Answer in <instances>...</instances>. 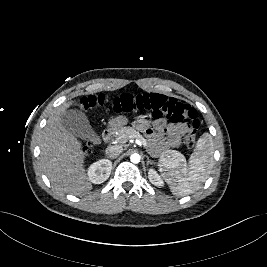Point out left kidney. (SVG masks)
I'll return each mask as SVG.
<instances>
[{
  "mask_svg": "<svg viewBox=\"0 0 267 267\" xmlns=\"http://www.w3.org/2000/svg\"><path fill=\"white\" fill-rule=\"evenodd\" d=\"M148 178L150 182L158 187H161L164 185L163 180L161 179V176L157 173V171L153 168H150L148 171Z\"/></svg>",
  "mask_w": 267,
  "mask_h": 267,
  "instance_id": "5707ae66",
  "label": "left kidney"
}]
</instances>
